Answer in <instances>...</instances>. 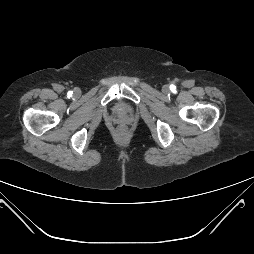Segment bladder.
I'll return each instance as SVG.
<instances>
[{"mask_svg":"<svg viewBox=\"0 0 254 254\" xmlns=\"http://www.w3.org/2000/svg\"><path fill=\"white\" fill-rule=\"evenodd\" d=\"M116 111H117L118 113H120V114H125V113H127L129 110H128V108H127L125 105L119 104V105L116 107Z\"/></svg>","mask_w":254,"mask_h":254,"instance_id":"obj_1","label":"bladder"}]
</instances>
